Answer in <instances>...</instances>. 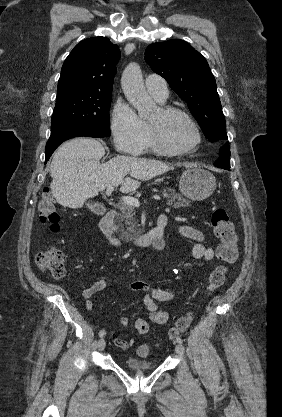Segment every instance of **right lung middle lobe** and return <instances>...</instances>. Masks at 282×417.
Segmentation results:
<instances>
[{
  "label": "right lung middle lobe",
  "instance_id": "1",
  "mask_svg": "<svg viewBox=\"0 0 282 417\" xmlns=\"http://www.w3.org/2000/svg\"><path fill=\"white\" fill-rule=\"evenodd\" d=\"M111 99V92L76 90L57 93L51 133L80 126L110 136Z\"/></svg>",
  "mask_w": 282,
  "mask_h": 417
}]
</instances>
